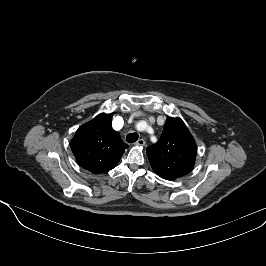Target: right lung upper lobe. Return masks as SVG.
Instances as JSON below:
<instances>
[{
  "instance_id": "obj_1",
  "label": "right lung upper lobe",
  "mask_w": 266,
  "mask_h": 266,
  "mask_svg": "<svg viewBox=\"0 0 266 266\" xmlns=\"http://www.w3.org/2000/svg\"><path fill=\"white\" fill-rule=\"evenodd\" d=\"M112 116L99 114L79 127L71 140V150L77 163L94 174L113 169L129 147L112 128Z\"/></svg>"
}]
</instances>
